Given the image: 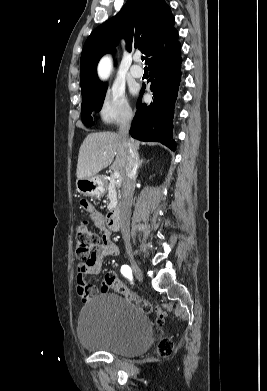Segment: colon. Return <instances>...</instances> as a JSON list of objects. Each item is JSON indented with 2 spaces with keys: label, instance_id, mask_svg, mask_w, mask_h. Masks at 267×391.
Instances as JSON below:
<instances>
[{
  "label": "colon",
  "instance_id": "5ec220e1",
  "mask_svg": "<svg viewBox=\"0 0 267 391\" xmlns=\"http://www.w3.org/2000/svg\"><path fill=\"white\" fill-rule=\"evenodd\" d=\"M75 242L77 258L80 261H87L99 247L100 237L84 222L76 231ZM107 281L111 289L121 294L126 299L138 304L143 311L148 313L156 312L158 321L163 322L165 320L166 315L161 309L155 307L149 301L140 298L134 292L130 291L115 273H108ZM158 349L160 354L170 355L174 350V343L172 340L165 338L160 342Z\"/></svg>",
  "mask_w": 267,
  "mask_h": 391
}]
</instances>
